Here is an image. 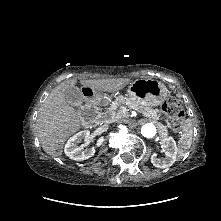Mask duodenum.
<instances>
[{
	"mask_svg": "<svg viewBox=\"0 0 221 221\" xmlns=\"http://www.w3.org/2000/svg\"><path fill=\"white\" fill-rule=\"evenodd\" d=\"M81 93L86 98V109L82 114V119L85 122L96 120L98 110L101 108L102 104L105 102L109 103L114 98L111 91L98 87L93 88L90 85L84 86ZM94 107H96V109H93Z\"/></svg>",
	"mask_w": 221,
	"mask_h": 221,
	"instance_id": "410a0bca",
	"label": "duodenum"
}]
</instances>
